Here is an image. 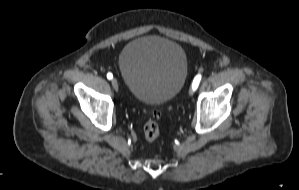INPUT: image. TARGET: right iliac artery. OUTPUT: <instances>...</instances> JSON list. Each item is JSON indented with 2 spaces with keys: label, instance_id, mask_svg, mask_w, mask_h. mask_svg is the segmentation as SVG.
I'll use <instances>...</instances> for the list:
<instances>
[{
  "label": "right iliac artery",
  "instance_id": "obj_1",
  "mask_svg": "<svg viewBox=\"0 0 299 190\" xmlns=\"http://www.w3.org/2000/svg\"><path fill=\"white\" fill-rule=\"evenodd\" d=\"M107 78H108L109 80H111V79L113 78V74L109 72V73L107 74Z\"/></svg>",
  "mask_w": 299,
  "mask_h": 190
}]
</instances>
